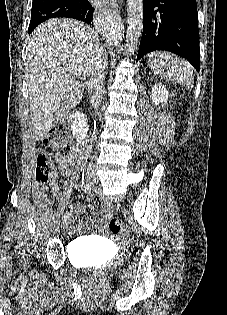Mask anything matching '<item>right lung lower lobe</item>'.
<instances>
[{
    "mask_svg": "<svg viewBox=\"0 0 227 315\" xmlns=\"http://www.w3.org/2000/svg\"><path fill=\"white\" fill-rule=\"evenodd\" d=\"M93 11L94 8L87 0H80L69 8H65L62 17L74 18L90 24L93 20Z\"/></svg>",
    "mask_w": 227,
    "mask_h": 315,
    "instance_id": "obj_1",
    "label": "right lung lower lobe"
}]
</instances>
